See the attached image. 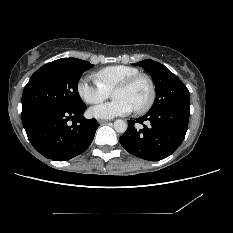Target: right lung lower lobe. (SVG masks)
<instances>
[{
  "mask_svg": "<svg viewBox=\"0 0 233 233\" xmlns=\"http://www.w3.org/2000/svg\"><path fill=\"white\" fill-rule=\"evenodd\" d=\"M85 109V104L77 109L48 106L22 115L29 141L41 155L54 161L83 153L99 127L96 119L83 117Z\"/></svg>",
  "mask_w": 233,
  "mask_h": 233,
  "instance_id": "obj_1",
  "label": "right lung lower lobe"
}]
</instances>
